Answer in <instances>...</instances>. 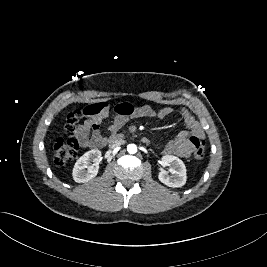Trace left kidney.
I'll use <instances>...</instances> for the list:
<instances>
[{
  "label": "left kidney",
  "mask_w": 267,
  "mask_h": 267,
  "mask_svg": "<svg viewBox=\"0 0 267 267\" xmlns=\"http://www.w3.org/2000/svg\"><path fill=\"white\" fill-rule=\"evenodd\" d=\"M162 166H170L169 172L161 169L158 179L165 185L178 188L185 185L187 180L186 166L181 159L173 155H165L161 159Z\"/></svg>",
  "instance_id": "left-kidney-1"
}]
</instances>
